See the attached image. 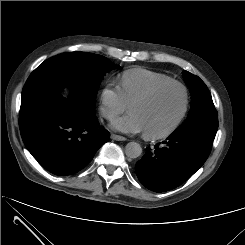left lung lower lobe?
I'll return each mask as SVG.
<instances>
[{
  "label": "left lung lower lobe",
  "instance_id": "0a47b994",
  "mask_svg": "<svg viewBox=\"0 0 245 245\" xmlns=\"http://www.w3.org/2000/svg\"><path fill=\"white\" fill-rule=\"evenodd\" d=\"M213 140L197 133L171 134L163 146L147 147L136 174L149 190L164 192L189 179L208 158Z\"/></svg>",
  "mask_w": 245,
  "mask_h": 245
}]
</instances>
